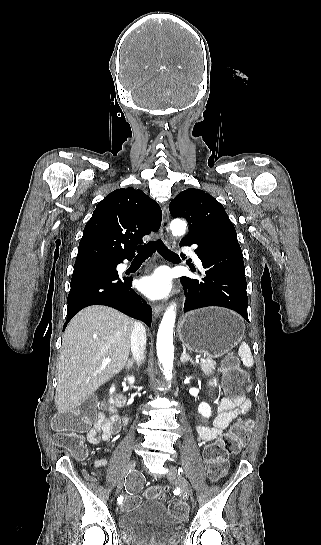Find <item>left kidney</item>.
<instances>
[{"mask_svg":"<svg viewBox=\"0 0 321 545\" xmlns=\"http://www.w3.org/2000/svg\"><path fill=\"white\" fill-rule=\"evenodd\" d=\"M198 413H200V415H202V417H211V407L210 405H208V403H200L199 407H198Z\"/></svg>","mask_w":321,"mask_h":545,"instance_id":"left-kidney-1","label":"left kidney"}]
</instances>
